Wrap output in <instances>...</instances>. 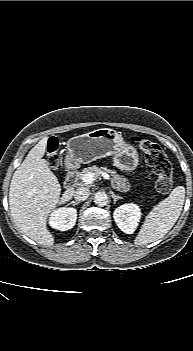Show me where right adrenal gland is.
<instances>
[{
    "label": "right adrenal gland",
    "instance_id": "2a0ac1e0",
    "mask_svg": "<svg viewBox=\"0 0 193 351\" xmlns=\"http://www.w3.org/2000/svg\"><path fill=\"white\" fill-rule=\"evenodd\" d=\"M79 203H80V201H71L69 203V205L72 204L73 206H75V205H78Z\"/></svg>",
    "mask_w": 193,
    "mask_h": 351
}]
</instances>
